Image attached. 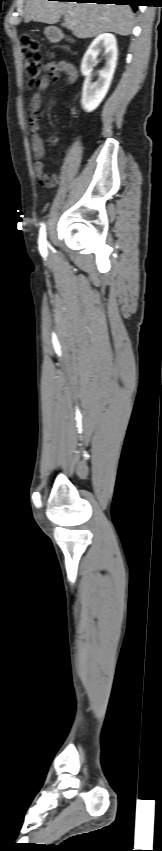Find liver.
Masks as SVG:
<instances>
[{"mask_svg":"<svg viewBox=\"0 0 162 851\" xmlns=\"http://www.w3.org/2000/svg\"><path fill=\"white\" fill-rule=\"evenodd\" d=\"M64 16V26L81 39L105 32L122 36L131 34L133 13L128 5L86 2L27 0L25 22L55 24Z\"/></svg>","mask_w":162,"mask_h":851,"instance_id":"1","label":"liver"}]
</instances>
